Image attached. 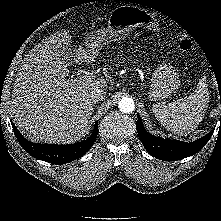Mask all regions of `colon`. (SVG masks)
<instances>
[{
    "label": "colon",
    "mask_w": 221,
    "mask_h": 221,
    "mask_svg": "<svg viewBox=\"0 0 221 221\" xmlns=\"http://www.w3.org/2000/svg\"><path fill=\"white\" fill-rule=\"evenodd\" d=\"M179 48L183 54L188 55L193 48L192 40L189 37L183 35L179 41Z\"/></svg>",
    "instance_id": "colon-1"
}]
</instances>
